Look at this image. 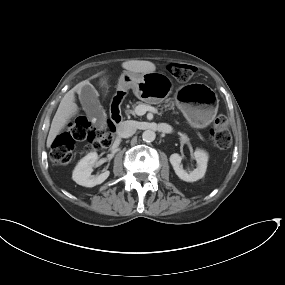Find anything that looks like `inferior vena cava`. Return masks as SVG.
I'll use <instances>...</instances> for the list:
<instances>
[{
	"label": "inferior vena cava",
	"mask_w": 285,
	"mask_h": 285,
	"mask_svg": "<svg viewBox=\"0 0 285 285\" xmlns=\"http://www.w3.org/2000/svg\"><path fill=\"white\" fill-rule=\"evenodd\" d=\"M136 131V127L131 121L121 122L117 127V134L121 138H128Z\"/></svg>",
	"instance_id": "602c4592"
}]
</instances>
